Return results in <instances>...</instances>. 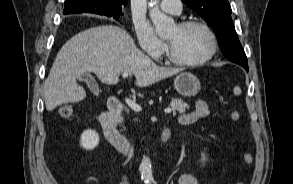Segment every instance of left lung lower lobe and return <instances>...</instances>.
I'll return each instance as SVG.
<instances>
[{
	"mask_svg": "<svg viewBox=\"0 0 293 184\" xmlns=\"http://www.w3.org/2000/svg\"><path fill=\"white\" fill-rule=\"evenodd\" d=\"M235 63L243 66L248 71V62H247V59L246 60H237Z\"/></svg>",
	"mask_w": 293,
	"mask_h": 184,
	"instance_id": "1",
	"label": "left lung lower lobe"
}]
</instances>
